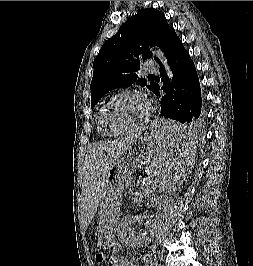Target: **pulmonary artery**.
I'll return each mask as SVG.
<instances>
[{
	"instance_id": "e3ab8cb5",
	"label": "pulmonary artery",
	"mask_w": 253,
	"mask_h": 266,
	"mask_svg": "<svg viewBox=\"0 0 253 266\" xmlns=\"http://www.w3.org/2000/svg\"><path fill=\"white\" fill-rule=\"evenodd\" d=\"M146 69L150 72H155L158 70V68L152 63H147Z\"/></svg>"
}]
</instances>
